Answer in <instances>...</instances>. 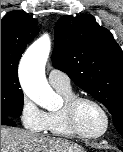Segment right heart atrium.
Segmentation results:
<instances>
[{
  "instance_id": "obj_1",
  "label": "right heart atrium",
  "mask_w": 123,
  "mask_h": 152,
  "mask_svg": "<svg viewBox=\"0 0 123 152\" xmlns=\"http://www.w3.org/2000/svg\"><path fill=\"white\" fill-rule=\"evenodd\" d=\"M19 115L23 126L27 130L32 132H44L46 130L47 113L26 95L22 97Z\"/></svg>"
}]
</instances>
